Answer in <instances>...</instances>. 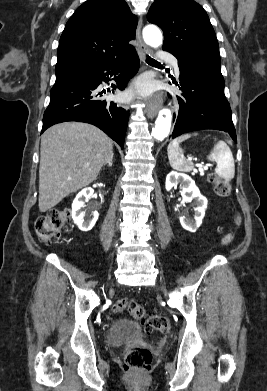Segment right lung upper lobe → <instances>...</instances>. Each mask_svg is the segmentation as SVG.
<instances>
[{"label": "right lung upper lobe", "instance_id": "obj_1", "mask_svg": "<svg viewBox=\"0 0 267 391\" xmlns=\"http://www.w3.org/2000/svg\"><path fill=\"white\" fill-rule=\"evenodd\" d=\"M137 17L125 0H88L66 23L57 50L56 77L116 61L135 48Z\"/></svg>", "mask_w": 267, "mask_h": 391}]
</instances>
